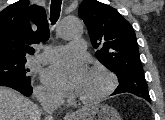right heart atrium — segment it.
I'll list each match as a JSON object with an SVG mask.
<instances>
[{"label":"right heart atrium","instance_id":"obj_1","mask_svg":"<svg viewBox=\"0 0 165 120\" xmlns=\"http://www.w3.org/2000/svg\"><path fill=\"white\" fill-rule=\"evenodd\" d=\"M37 95L44 100H56L57 96L44 86H39L36 89Z\"/></svg>","mask_w":165,"mask_h":120}]
</instances>
